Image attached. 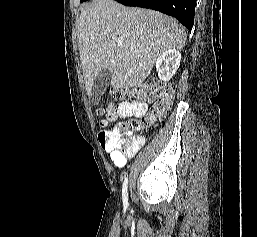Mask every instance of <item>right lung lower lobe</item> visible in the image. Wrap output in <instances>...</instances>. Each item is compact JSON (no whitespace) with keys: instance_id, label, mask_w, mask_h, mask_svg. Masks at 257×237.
Wrapping results in <instances>:
<instances>
[{"instance_id":"1","label":"right lung lower lobe","mask_w":257,"mask_h":237,"mask_svg":"<svg viewBox=\"0 0 257 237\" xmlns=\"http://www.w3.org/2000/svg\"><path fill=\"white\" fill-rule=\"evenodd\" d=\"M126 6L160 11L175 17L189 31L194 24L196 0H115Z\"/></svg>"}]
</instances>
